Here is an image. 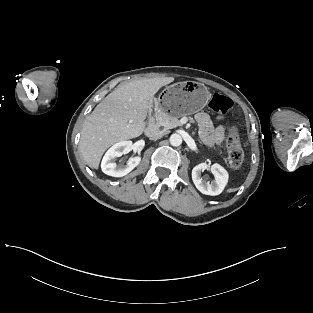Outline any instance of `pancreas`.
<instances>
[{
  "label": "pancreas",
  "instance_id": "1",
  "mask_svg": "<svg viewBox=\"0 0 313 313\" xmlns=\"http://www.w3.org/2000/svg\"><path fill=\"white\" fill-rule=\"evenodd\" d=\"M156 121L159 126L164 127V130L172 129L182 125L176 116H171L164 112L157 113Z\"/></svg>",
  "mask_w": 313,
  "mask_h": 313
}]
</instances>
